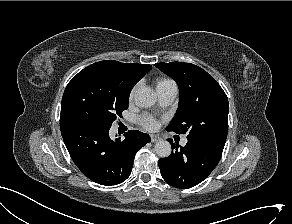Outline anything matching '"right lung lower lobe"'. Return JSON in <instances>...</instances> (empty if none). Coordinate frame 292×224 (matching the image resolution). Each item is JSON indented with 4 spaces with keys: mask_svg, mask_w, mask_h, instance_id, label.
<instances>
[{
    "mask_svg": "<svg viewBox=\"0 0 292 224\" xmlns=\"http://www.w3.org/2000/svg\"><path fill=\"white\" fill-rule=\"evenodd\" d=\"M67 150L80 171L101 185H117L131 174L137 151L150 141L148 134L137 130L125 133V139H110L109 129L80 120L60 122Z\"/></svg>",
    "mask_w": 292,
    "mask_h": 224,
    "instance_id": "obj_1",
    "label": "right lung lower lobe"
}]
</instances>
